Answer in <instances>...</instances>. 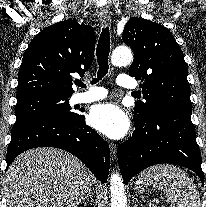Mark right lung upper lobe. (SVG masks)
<instances>
[{"mask_svg":"<svg viewBox=\"0 0 206 207\" xmlns=\"http://www.w3.org/2000/svg\"><path fill=\"white\" fill-rule=\"evenodd\" d=\"M94 49L95 33L75 20L43 29L24 53L17 99L43 93L72 95V74L84 75L92 65Z\"/></svg>","mask_w":206,"mask_h":207,"instance_id":"1","label":"right lung upper lobe"}]
</instances>
